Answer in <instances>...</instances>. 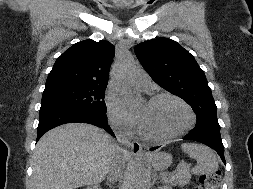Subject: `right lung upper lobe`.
<instances>
[{"instance_id":"1","label":"right lung upper lobe","mask_w":253,"mask_h":189,"mask_svg":"<svg viewBox=\"0 0 253 189\" xmlns=\"http://www.w3.org/2000/svg\"><path fill=\"white\" fill-rule=\"evenodd\" d=\"M114 46L105 40H84L59 56L46 80V87H106Z\"/></svg>"}]
</instances>
